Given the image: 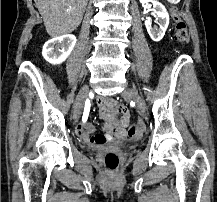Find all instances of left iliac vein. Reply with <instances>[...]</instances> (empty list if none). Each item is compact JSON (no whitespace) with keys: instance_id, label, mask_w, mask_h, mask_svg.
<instances>
[{"instance_id":"obj_1","label":"left iliac vein","mask_w":217,"mask_h":202,"mask_svg":"<svg viewBox=\"0 0 217 202\" xmlns=\"http://www.w3.org/2000/svg\"><path fill=\"white\" fill-rule=\"evenodd\" d=\"M123 97L133 99L136 102L137 108L142 114V116L144 117L146 115L145 103L143 99L139 96L137 91L127 89L124 91Z\"/></svg>"}]
</instances>
